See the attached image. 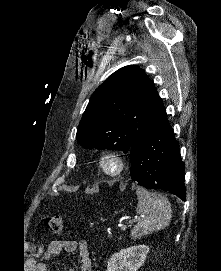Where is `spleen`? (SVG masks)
Returning a JSON list of instances; mask_svg holds the SVG:
<instances>
[{
	"label": "spleen",
	"mask_w": 221,
	"mask_h": 271,
	"mask_svg": "<svg viewBox=\"0 0 221 271\" xmlns=\"http://www.w3.org/2000/svg\"><path fill=\"white\" fill-rule=\"evenodd\" d=\"M136 193L138 197L136 207L138 223L130 233L132 239H140L141 235L165 229L172 217L169 199L160 193L146 191L144 187H137Z\"/></svg>",
	"instance_id": "obj_1"
}]
</instances>
